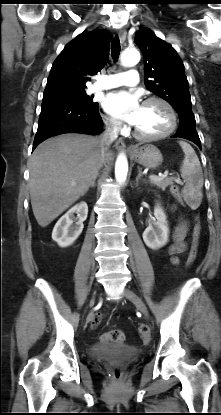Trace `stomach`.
<instances>
[{"label":"stomach","mask_w":221,"mask_h":415,"mask_svg":"<svg viewBox=\"0 0 221 415\" xmlns=\"http://www.w3.org/2000/svg\"><path fill=\"white\" fill-rule=\"evenodd\" d=\"M130 156L138 164L151 169L157 168L163 162L160 150L152 144L134 147Z\"/></svg>","instance_id":"0dacf381"}]
</instances>
